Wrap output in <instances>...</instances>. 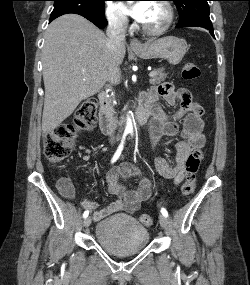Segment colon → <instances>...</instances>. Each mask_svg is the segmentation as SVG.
<instances>
[{
  "mask_svg": "<svg viewBox=\"0 0 250 285\" xmlns=\"http://www.w3.org/2000/svg\"><path fill=\"white\" fill-rule=\"evenodd\" d=\"M199 67L192 63H185L182 68V77L185 80H196L200 77ZM97 104L89 99L83 102L77 109L74 121L70 124L58 126L45 135L44 155L51 163H59L70 155L74 148L76 135L80 131L90 130L96 123ZM203 159V152L200 148H193L185 162V180L181 186L183 197L190 196L196 188V177ZM142 225L149 227L153 219L148 214L140 216Z\"/></svg>",
  "mask_w": 250,
  "mask_h": 285,
  "instance_id": "colon-1",
  "label": "colon"
}]
</instances>
